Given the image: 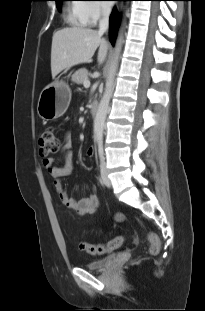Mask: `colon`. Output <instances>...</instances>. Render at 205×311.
I'll return each instance as SVG.
<instances>
[{
  "mask_svg": "<svg viewBox=\"0 0 205 311\" xmlns=\"http://www.w3.org/2000/svg\"><path fill=\"white\" fill-rule=\"evenodd\" d=\"M60 147V139L54 128H45L39 139L40 154L47 158L50 154L58 151ZM150 253L157 254L160 250V239L155 233H149ZM123 243V237L117 236L106 243L90 244L85 241L79 243V248L91 255H102L107 252L118 249Z\"/></svg>",
  "mask_w": 205,
  "mask_h": 311,
  "instance_id": "5ec220e1",
  "label": "colon"
}]
</instances>
